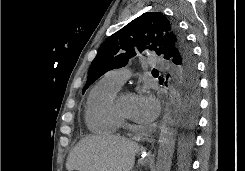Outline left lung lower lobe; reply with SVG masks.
I'll return each mask as SVG.
<instances>
[{
    "label": "left lung lower lobe",
    "instance_id": "0a47b994",
    "mask_svg": "<svg viewBox=\"0 0 245 171\" xmlns=\"http://www.w3.org/2000/svg\"><path fill=\"white\" fill-rule=\"evenodd\" d=\"M193 54V53H192ZM175 61L174 80L177 82L180 93V111L183 132L177 137V148L182 160L181 166H186L187 157L193 147V136L190 132L196 122L198 110L199 84L196 70V61Z\"/></svg>",
    "mask_w": 245,
    "mask_h": 171
}]
</instances>
